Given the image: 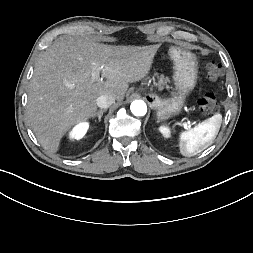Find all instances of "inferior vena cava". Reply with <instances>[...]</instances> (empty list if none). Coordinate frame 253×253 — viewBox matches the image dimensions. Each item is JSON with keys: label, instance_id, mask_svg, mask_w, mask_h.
<instances>
[{"label": "inferior vena cava", "instance_id": "obj_1", "mask_svg": "<svg viewBox=\"0 0 253 253\" xmlns=\"http://www.w3.org/2000/svg\"><path fill=\"white\" fill-rule=\"evenodd\" d=\"M114 102L115 98L108 94L100 95L96 100L97 106L104 109L110 107Z\"/></svg>", "mask_w": 253, "mask_h": 253}]
</instances>
